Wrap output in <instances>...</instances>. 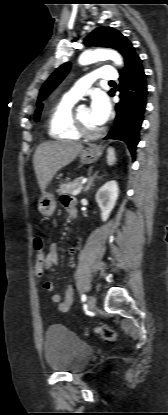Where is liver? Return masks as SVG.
Returning a JSON list of instances; mask_svg holds the SVG:
<instances>
[{
    "instance_id": "6515ba94",
    "label": "liver",
    "mask_w": 168,
    "mask_h": 415,
    "mask_svg": "<svg viewBox=\"0 0 168 415\" xmlns=\"http://www.w3.org/2000/svg\"><path fill=\"white\" fill-rule=\"evenodd\" d=\"M82 149L83 145L81 143L70 141H50L37 147L33 164L42 192L56 172L70 164Z\"/></svg>"
}]
</instances>
